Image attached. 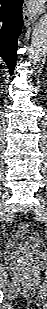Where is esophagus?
<instances>
[{
  "label": "esophagus",
  "mask_w": 47,
  "mask_h": 309,
  "mask_svg": "<svg viewBox=\"0 0 47 309\" xmlns=\"http://www.w3.org/2000/svg\"><path fill=\"white\" fill-rule=\"evenodd\" d=\"M23 20H24L25 26H29V25H31L35 22L36 15L31 13V11L29 9H24Z\"/></svg>",
  "instance_id": "34e87169"
}]
</instances>
